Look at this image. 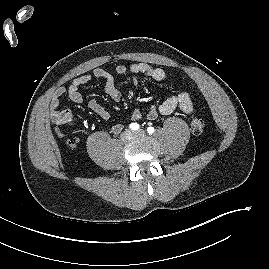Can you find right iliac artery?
Listing matches in <instances>:
<instances>
[{"mask_svg":"<svg viewBox=\"0 0 269 269\" xmlns=\"http://www.w3.org/2000/svg\"><path fill=\"white\" fill-rule=\"evenodd\" d=\"M129 127H130V129H132V130H138L139 129V124H137V123H131L130 125H129Z\"/></svg>","mask_w":269,"mask_h":269,"instance_id":"obj_1","label":"right iliac artery"}]
</instances>
